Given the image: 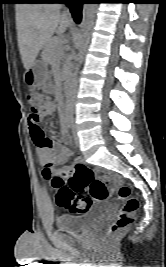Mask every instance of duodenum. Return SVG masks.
I'll return each instance as SVG.
<instances>
[{
  "mask_svg": "<svg viewBox=\"0 0 166 267\" xmlns=\"http://www.w3.org/2000/svg\"><path fill=\"white\" fill-rule=\"evenodd\" d=\"M69 85V78L64 77L61 81V92L65 93Z\"/></svg>",
  "mask_w": 166,
  "mask_h": 267,
  "instance_id": "1",
  "label": "duodenum"
}]
</instances>
